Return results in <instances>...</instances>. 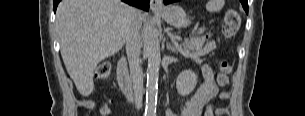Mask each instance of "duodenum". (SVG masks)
<instances>
[{
    "label": "duodenum",
    "instance_id": "410a0bca",
    "mask_svg": "<svg viewBox=\"0 0 305 116\" xmlns=\"http://www.w3.org/2000/svg\"><path fill=\"white\" fill-rule=\"evenodd\" d=\"M117 78L122 92L130 100L133 99L132 82L128 74L127 62L125 58H121L117 66Z\"/></svg>",
    "mask_w": 305,
    "mask_h": 116
}]
</instances>
